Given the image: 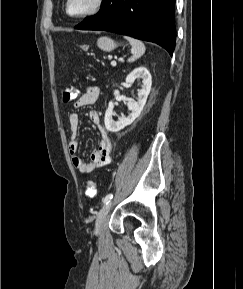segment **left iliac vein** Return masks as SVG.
Here are the masks:
<instances>
[{
	"mask_svg": "<svg viewBox=\"0 0 243 289\" xmlns=\"http://www.w3.org/2000/svg\"><path fill=\"white\" fill-rule=\"evenodd\" d=\"M112 206V202H109L107 204H105L101 210L99 211L98 215H97V219H96V223H95V231L96 233L101 232L106 216L108 214V212L110 211V208Z\"/></svg>",
	"mask_w": 243,
	"mask_h": 289,
	"instance_id": "1",
	"label": "left iliac vein"
}]
</instances>
